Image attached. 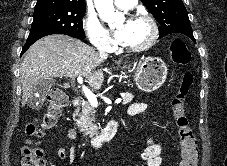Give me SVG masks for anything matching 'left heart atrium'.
I'll return each instance as SVG.
<instances>
[{
  "mask_svg": "<svg viewBox=\"0 0 227 166\" xmlns=\"http://www.w3.org/2000/svg\"><path fill=\"white\" fill-rule=\"evenodd\" d=\"M113 35L117 41H120V42L124 41L126 37V27L125 26L119 27L113 32Z\"/></svg>",
  "mask_w": 227,
  "mask_h": 166,
  "instance_id": "left-heart-atrium-1",
  "label": "left heart atrium"
}]
</instances>
